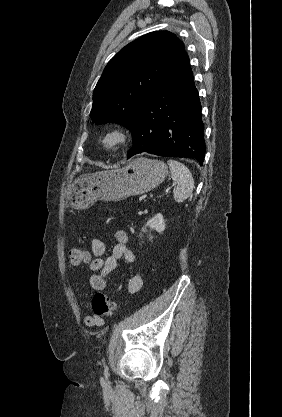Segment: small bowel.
I'll return each instance as SVG.
<instances>
[{
    "label": "small bowel",
    "mask_w": 282,
    "mask_h": 417,
    "mask_svg": "<svg viewBox=\"0 0 282 417\" xmlns=\"http://www.w3.org/2000/svg\"><path fill=\"white\" fill-rule=\"evenodd\" d=\"M117 244L113 247L111 254L105 255V244L102 240L94 237L91 239V249L94 258H87L89 269L92 272L90 276V286L95 291H102L106 288L108 276L117 267L118 261L124 258L130 264H137V258L134 252L129 249V237L125 230L117 229L114 233ZM143 286V277L140 271H136L130 278L127 291L130 294L137 293ZM84 322L89 327H101L104 324V318L96 314H88Z\"/></svg>",
    "instance_id": "obj_1"
}]
</instances>
